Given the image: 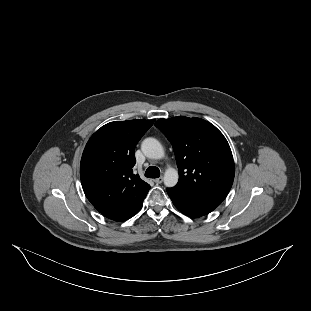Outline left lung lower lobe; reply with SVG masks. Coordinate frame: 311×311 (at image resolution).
<instances>
[{"label": "left lung lower lobe", "instance_id": "1", "mask_svg": "<svg viewBox=\"0 0 311 311\" xmlns=\"http://www.w3.org/2000/svg\"><path fill=\"white\" fill-rule=\"evenodd\" d=\"M166 191L176 208L192 218L206 215L221 204L220 201L200 198L174 187L168 188Z\"/></svg>", "mask_w": 311, "mask_h": 311}]
</instances>
